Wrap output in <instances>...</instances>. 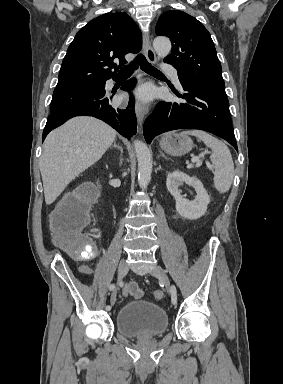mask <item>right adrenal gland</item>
Returning <instances> with one entry per match:
<instances>
[{
	"instance_id": "obj_1",
	"label": "right adrenal gland",
	"mask_w": 283,
	"mask_h": 384,
	"mask_svg": "<svg viewBox=\"0 0 283 384\" xmlns=\"http://www.w3.org/2000/svg\"><path fill=\"white\" fill-rule=\"evenodd\" d=\"M113 148H118V150H120L121 154H123V150H122L121 146H118V144H116V142H114ZM121 164H123L122 158L120 160V166H121Z\"/></svg>"
}]
</instances>
